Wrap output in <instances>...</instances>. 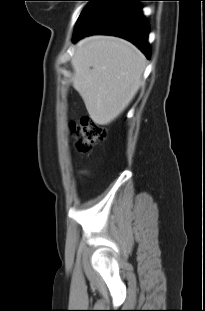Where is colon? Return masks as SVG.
Returning a JSON list of instances; mask_svg holds the SVG:
<instances>
[{
  "label": "colon",
  "mask_w": 205,
  "mask_h": 311,
  "mask_svg": "<svg viewBox=\"0 0 205 311\" xmlns=\"http://www.w3.org/2000/svg\"><path fill=\"white\" fill-rule=\"evenodd\" d=\"M78 152L88 154L94 145L105 138L106 130L88 117H82L78 123L71 125Z\"/></svg>",
  "instance_id": "obj_1"
}]
</instances>
